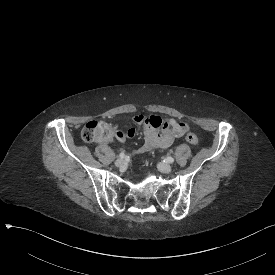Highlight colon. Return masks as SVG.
Listing matches in <instances>:
<instances>
[{"label":"colon","mask_w":275,"mask_h":275,"mask_svg":"<svg viewBox=\"0 0 275 275\" xmlns=\"http://www.w3.org/2000/svg\"><path fill=\"white\" fill-rule=\"evenodd\" d=\"M118 130L119 129H114L112 125L107 122L91 120L82 128L81 136L87 143L106 142L113 139L115 132ZM185 138L191 145L198 144V137L193 132H187Z\"/></svg>","instance_id":"obj_1"}]
</instances>
